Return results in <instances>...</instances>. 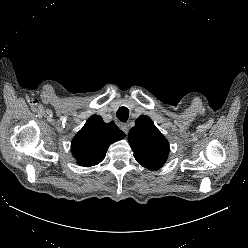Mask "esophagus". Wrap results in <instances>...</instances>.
I'll return each mask as SVG.
<instances>
[{"mask_svg": "<svg viewBox=\"0 0 248 248\" xmlns=\"http://www.w3.org/2000/svg\"><path fill=\"white\" fill-rule=\"evenodd\" d=\"M120 129L127 135L129 132V128L127 124H121Z\"/></svg>", "mask_w": 248, "mask_h": 248, "instance_id": "esophagus-1", "label": "esophagus"}]
</instances>
